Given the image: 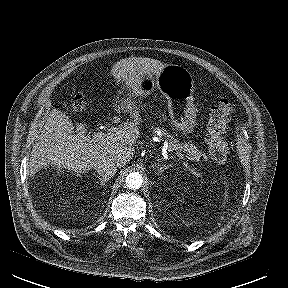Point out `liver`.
Listing matches in <instances>:
<instances>
[{
    "label": "liver",
    "mask_w": 288,
    "mask_h": 288,
    "mask_svg": "<svg viewBox=\"0 0 288 288\" xmlns=\"http://www.w3.org/2000/svg\"><path fill=\"white\" fill-rule=\"evenodd\" d=\"M166 66L159 60L133 57L122 59L112 67L111 75L117 84L124 83L123 89L128 90L127 98L120 100L116 111L129 113L132 121L111 127L100 140L93 141L81 133L75 134L69 117L53 109L32 147L28 175L32 177L49 165L58 170L65 168L77 174L85 173L104 158L113 159L117 167L125 166L134 155V145L140 135L138 126L142 122L140 105L137 106L135 99L145 95L142 87L145 78H157ZM115 119L118 121L117 117Z\"/></svg>",
    "instance_id": "1"
}]
</instances>
